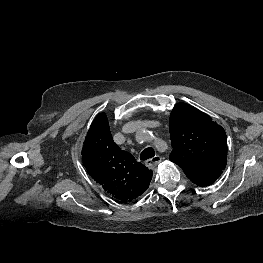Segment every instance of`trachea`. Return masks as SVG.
Here are the masks:
<instances>
[{"instance_id":"trachea-1","label":"trachea","mask_w":263,"mask_h":263,"mask_svg":"<svg viewBox=\"0 0 263 263\" xmlns=\"http://www.w3.org/2000/svg\"><path fill=\"white\" fill-rule=\"evenodd\" d=\"M155 156V151L153 148L148 147L146 149H144L141 154H140V159L141 160H147L149 158H152Z\"/></svg>"}]
</instances>
